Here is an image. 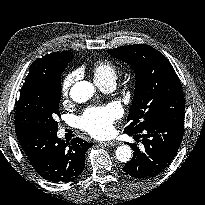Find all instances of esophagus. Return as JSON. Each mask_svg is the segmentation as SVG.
Wrapping results in <instances>:
<instances>
[{
	"label": "esophagus",
	"mask_w": 205,
	"mask_h": 205,
	"mask_svg": "<svg viewBox=\"0 0 205 205\" xmlns=\"http://www.w3.org/2000/svg\"><path fill=\"white\" fill-rule=\"evenodd\" d=\"M103 146H107V147H114L118 144V142L116 141H106V142H101L100 143Z\"/></svg>",
	"instance_id": "esophagus-1"
}]
</instances>
